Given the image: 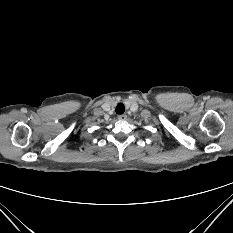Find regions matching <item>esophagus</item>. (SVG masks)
<instances>
[{
	"instance_id": "1",
	"label": "esophagus",
	"mask_w": 233,
	"mask_h": 233,
	"mask_svg": "<svg viewBox=\"0 0 233 233\" xmlns=\"http://www.w3.org/2000/svg\"><path fill=\"white\" fill-rule=\"evenodd\" d=\"M118 119L119 120H126L127 119V115L126 114H120V115H118Z\"/></svg>"
}]
</instances>
